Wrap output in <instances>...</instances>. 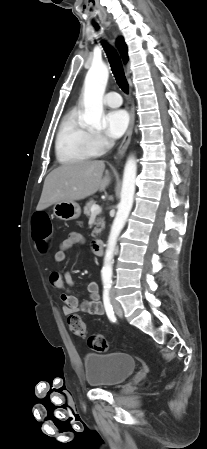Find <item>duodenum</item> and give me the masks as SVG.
I'll return each instance as SVG.
<instances>
[{"label":"duodenum","instance_id":"obj_1","mask_svg":"<svg viewBox=\"0 0 207 449\" xmlns=\"http://www.w3.org/2000/svg\"><path fill=\"white\" fill-rule=\"evenodd\" d=\"M92 251L96 255H102L104 251V242L101 239H94L91 242Z\"/></svg>","mask_w":207,"mask_h":449}]
</instances>
